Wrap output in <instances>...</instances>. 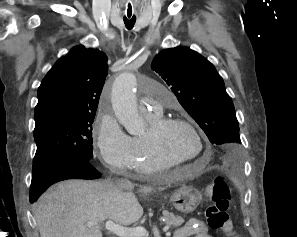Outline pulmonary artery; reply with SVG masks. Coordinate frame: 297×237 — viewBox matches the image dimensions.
<instances>
[{"instance_id":"e3ab8cb5","label":"pulmonary artery","mask_w":297,"mask_h":237,"mask_svg":"<svg viewBox=\"0 0 297 237\" xmlns=\"http://www.w3.org/2000/svg\"><path fill=\"white\" fill-rule=\"evenodd\" d=\"M146 93L148 97L142 103L141 109L148 114L152 111L159 112L161 107H173L176 104L175 98L168 91H159L149 86Z\"/></svg>"}]
</instances>
